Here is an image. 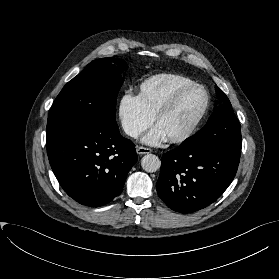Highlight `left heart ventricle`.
Listing matches in <instances>:
<instances>
[{
  "mask_svg": "<svg viewBox=\"0 0 279 279\" xmlns=\"http://www.w3.org/2000/svg\"><path fill=\"white\" fill-rule=\"evenodd\" d=\"M205 101L201 89L187 92L176 107L157 124L167 135L174 137L182 134L199 114Z\"/></svg>",
  "mask_w": 279,
  "mask_h": 279,
  "instance_id": "b2bd125f",
  "label": "left heart ventricle"
}]
</instances>
